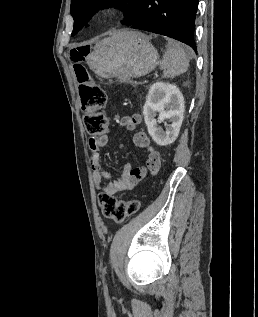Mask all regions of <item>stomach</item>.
I'll return each instance as SVG.
<instances>
[{
	"mask_svg": "<svg viewBox=\"0 0 258 317\" xmlns=\"http://www.w3.org/2000/svg\"><path fill=\"white\" fill-rule=\"evenodd\" d=\"M158 58L155 46L137 30H123L117 36L103 38L86 56L90 68L105 78L144 76L155 68Z\"/></svg>",
	"mask_w": 258,
	"mask_h": 317,
	"instance_id": "obj_1",
	"label": "stomach"
}]
</instances>
